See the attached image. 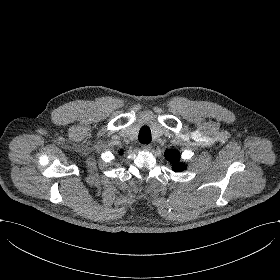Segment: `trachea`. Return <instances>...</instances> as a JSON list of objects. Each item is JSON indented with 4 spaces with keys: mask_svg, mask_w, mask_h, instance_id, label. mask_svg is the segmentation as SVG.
<instances>
[{
    "mask_svg": "<svg viewBox=\"0 0 280 280\" xmlns=\"http://www.w3.org/2000/svg\"><path fill=\"white\" fill-rule=\"evenodd\" d=\"M138 139L143 144L151 142V130L148 126H143L139 131Z\"/></svg>",
    "mask_w": 280,
    "mask_h": 280,
    "instance_id": "3493384b",
    "label": "trachea"
}]
</instances>
